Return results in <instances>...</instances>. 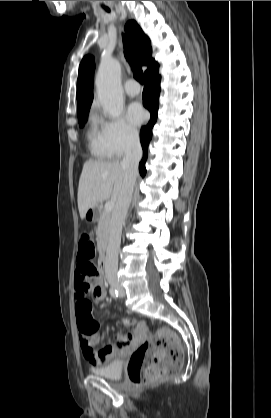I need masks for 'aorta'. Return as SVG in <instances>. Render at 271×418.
Segmentation results:
<instances>
[{"label": "aorta", "mask_w": 271, "mask_h": 418, "mask_svg": "<svg viewBox=\"0 0 271 418\" xmlns=\"http://www.w3.org/2000/svg\"><path fill=\"white\" fill-rule=\"evenodd\" d=\"M120 73L119 61L110 58L101 61L96 76L98 101L112 118H118L124 106Z\"/></svg>", "instance_id": "obj_1"}]
</instances>
